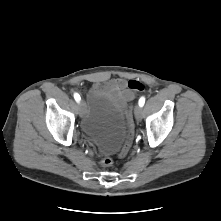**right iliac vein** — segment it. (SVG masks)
<instances>
[{
    "instance_id": "1",
    "label": "right iliac vein",
    "mask_w": 221,
    "mask_h": 221,
    "mask_svg": "<svg viewBox=\"0 0 221 221\" xmlns=\"http://www.w3.org/2000/svg\"><path fill=\"white\" fill-rule=\"evenodd\" d=\"M78 112H79L80 117H83V116H84V114H85V107H84L83 101H80V102H79Z\"/></svg>"
}]
</instances>
